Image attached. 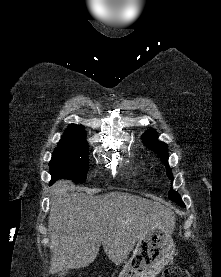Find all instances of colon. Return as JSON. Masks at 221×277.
<instances>
[{
    "instance_id": "obj_1",
    "label": "colon",
    "mask_w": 221,
    "mask_h": 277,
    "mask_svg": "<svg viewBox=\"0 0 221 277\" xmlns=\"http://www.w3.org/2000/svg\"><path fill=\"white\" fill-rule=\"evenodd\" d=\"M161 277H190V272L183 266L174 265L166 268Z\"/></svg>"
}]
</instances>
